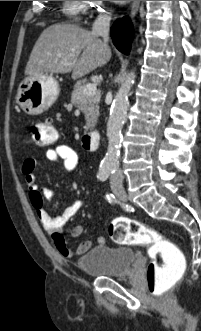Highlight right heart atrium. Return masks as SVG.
<instances>
[{"label":"right heart atrium","mask_w":201,"mask_h":331,"mask_svg":"<svg viewBox=\"0 0 201 331\" xmlns=\"http://www.w3.org/2000/svg\"><path fill=\"white\" fill-rule=\"evenodd\" d=\"M83 10L88 14L89 19H96L97 16H107V9H103L104 1H80Z\"/></svg>","instance_id":"1"}]
</instances>
